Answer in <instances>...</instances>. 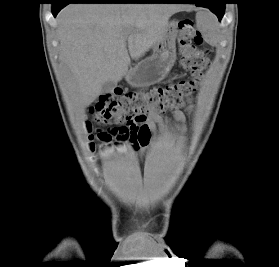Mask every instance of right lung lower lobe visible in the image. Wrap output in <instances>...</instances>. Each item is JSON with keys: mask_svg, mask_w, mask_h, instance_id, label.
Wrapping results in <instances>:
<instances>
[{"mask_svg": "<svg viewBox=\"0 0 279 267\" xmlns=\"http://www.w3.org/2000/svg\"><path fill=\"white\" fill-rule=\"evenodd\" d=\"M165 0H55L53 4V15L56 17L58 12L70 3H162Z\"/></svg>", "mask_w": 279, "mask_h": 267, "instance_id": "obj_1", "label": "right lung lower lobe"}]
</instances>
